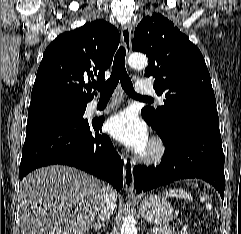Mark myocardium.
Instances as JSON below:
<instances>
[{
  "mask_svg": "<svg viewBox=\"0 0 241 234\" xmlns=\"http://www.w3.org/2000/svg\"><path fill=\"white\" fill-rule=\"evenodd\" d=\"M166 154L165 143L158 137L152 138L147 149L137 156V160L148 165L158 164Z\"/></svg>",
  "mask_w": 241,
  "mask_h": 234,
  "instance_id": "myocardium-1",
  "label": "myocardium"
}]
</instances>
